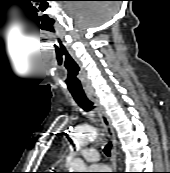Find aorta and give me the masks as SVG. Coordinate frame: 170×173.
I'll list each match as a JSON object with an SVG mask.
<instances>
[{"instance_id": "762f6f07", "label": "aorta", "mask_w": 170, "mask_h": 173, "mask_svg": "<svg viewBox=\"0 0 170 173\" xmlns=\"http://www.w3.org/2000/svg\"><path fill=\"white\" fill-rule=\"evenodd\" d=\"M97 137V130L93 127L80 129L74 137V142L78 146L86 145L89 141ZM87 168L82 159L76 158L70 165V172H86Z\"/></svg>"}]
</instances>
